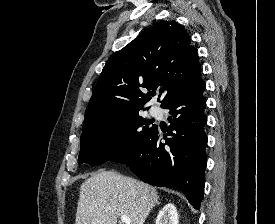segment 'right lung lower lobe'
I'll use <instances>...</instances> for the list:
<instances>
[{
    "instance_id": "1",
    "label": "right lung lower lobe",
    "mask_w": 275,
    "mask_h": 224,
    "mask_svg": "<svg viewBox=\"0 0 275 224\" xmlns=\"http://www.w3.org/2000/svg\"><path fill=\"white\" fill-rule=\"evenodd\" d=\"M205 87L199 74L162 106L170 110L167 133L162 134L155 126L136 145L111 160L126 164L148 184L181 190L195 209L203 199L206 168Z\"/></svg>"
}]
</instances>
